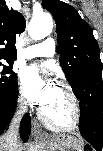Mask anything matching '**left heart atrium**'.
Masks as SVG:
<instances>
[{
	"mask_svg": "<svg viewBox=\"0 0 103 151\" xmlns=\"http://www.w3.org/2000/svg\"><path fill=\"white\" fill-rule=\"evenodd\" d=\"M23 90L26 96L44 110L51 102L56 86L42 77V69L30 66L21 75Z\"/></svg>",
	"mask_w": 103,
	"mask_h": 151,
	"instance_id": "left-heart-atrium-1",
	"label": "left heart atrium"
}]
</instances>
